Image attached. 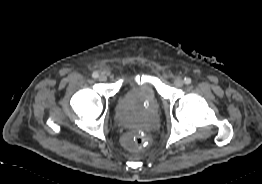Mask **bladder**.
Masks as SVG:
<instances>
[{
	"label": "bladder",
	"mask_w": 262,
	"mask_h": 184,
	"mask_svg": "<svg viewBox=\"0 0 262 184\" xmlns=\"http://www.w3.org/2000/svg\"><path fill=\"white\" fill-rule=\"evenodd\" d=\"M142 93L153 104L159 101V93L156 84L149 76H132L125 82L123 98H129L136 93ZM120 124L125 127L133 128L139 125V122L129 116L124 115L122 111L118 113Z\"/></svg>",
	"instance_id": "31cf9c89"
}]
</instances>
